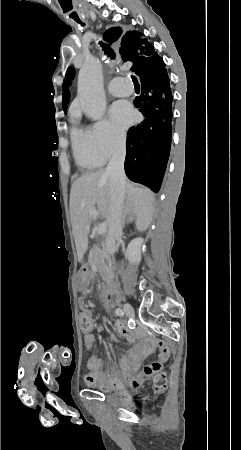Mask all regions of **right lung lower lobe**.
Instances as JSON below:
<instances>
[{"mask_svg": "<svg viewBox=\"0 0 241 450\" xmlns=\"http://www.w3.org/2000/svg\"><path fill=\"white\" fill-rule=\"evenodd\" d=\"M136 74L141 94L134 105L145 119L127 133L124 168L130 180L158 192L170 153L173 97L163 60L142 66Z\"/></svg>", "mask_w": 241, "mask_h": 450, "instance_id": "1", "label": "right lung lower lobe"}]
</instances>
